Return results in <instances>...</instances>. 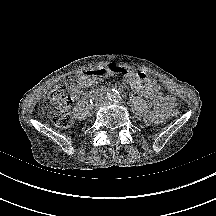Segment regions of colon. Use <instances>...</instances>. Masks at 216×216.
<instances>
[{"label": "colon", "mask_w": 216, "mask_h": 216, "mask_svg": "<svg viewBox=\"0 0 216 216\" xmlns=\"http://www.w3.org/2000/svg\"><path fill=\"white\" fill-rule=\"evenodd\" d=\"M74 99L72 89L69 86L62 88L56 87L51 92V101L54 105V110L52 114L53 123L60 128H69L73 123V118L69 112V106ZM168 116L178 117L179 110L172 107L168 111Z\"/></svg>", "instance_id": "obj_1"}]
</instances>
